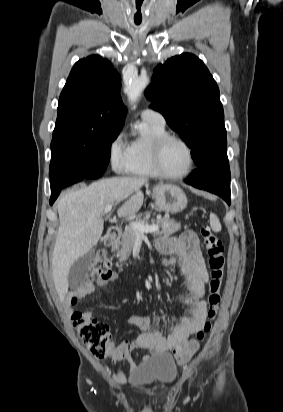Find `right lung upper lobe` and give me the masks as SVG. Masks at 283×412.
Returning a JSON list of instances; mask_svg holds the SVG:
<instances>
[{"label":"right lung upper lobe","mask_w":283,"mask_h":412,"mask_svg":"<svg viewBox=\"0 0 283 412\" xmlns=\"http://www.w3.org/2000/svg\"><path fill=\"white\" fill-rule=\"evenodd\" d=\"M120 88V75L107 59L92 55L79 60L60 95L57 120L77 118L96 131H121L126 108Z\"/></svg>","instance_id":"obj_1"}]
</instances>
